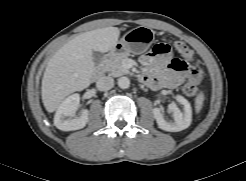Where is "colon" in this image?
<instances>
[{
  "instance_id": "5ec220e1",
  "label": "colon",
  "mask_w": 246,
  "mask_h": 181,
  "mask_svg": "<svg viewBox=\"0 0 246 181\" xmlns=\"http://www.w3.org/2000/svg\"><path fill=\"white\" fill-rule=\"evenodd\" d=\"M172 48L181 54L186 59L192 58V51L190 48L182 41H174L172 43ZM168 49L167 45L159 44L154 47L155 53H163ZM201 71L197 65L189 66V80L183 87V91L186 95L195 97L198 95V83L201 81Z\"/></svg>"
}]
</instances>
